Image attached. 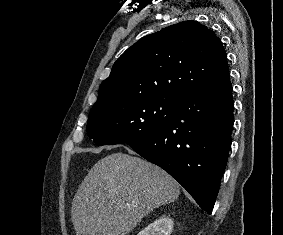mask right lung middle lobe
<instances>
[{"instance_id": "1", "label": "right lung middle lobe", "mask_w": 283, "mask_h": 235, "mask_svg": "<svg viewBox=\"0 0 283 235\" xmlns=\"http://www.w3.org/2000/svg\"><path fill=\"white\" fill-rule=\"evenodd\" d=\"M177 99L131 97L92 107L87 133L97 145L129 143L142 139L165 125Z\"/></svg>"}]
</instances>
